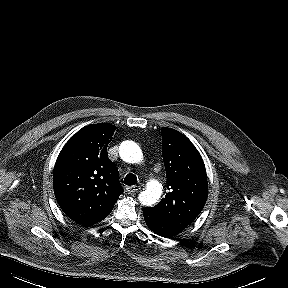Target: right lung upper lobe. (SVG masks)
<instances>
[{"label":"right lung upper lobe","instance_id":"right-lung-upper-lobe-1","mask_svg":"<svg viewBox=\"0 0 288 288\" xmlns=\"http://www.w3.org/2000/svg\"><path fill=\"white\" fill-rule=\"evenodd\" d=\"M115 130L107 123L80 129L63 147L55 163L56 200L70 219L85 226L107 217L123 192L118 169L107 153Z\"/></svg>","mask_w":288,"mask_h":288}]
</instances>
